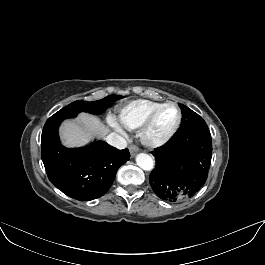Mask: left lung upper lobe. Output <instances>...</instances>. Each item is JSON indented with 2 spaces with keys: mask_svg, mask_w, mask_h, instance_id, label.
Listing matches in <instances>:
<instances>
[{
  "mask_svg": "<svg viewBox=\"0 0 265 265\" xmlns=\"http://www.w3.org/2000/svg\"><path fill=\"white\" fill-rule=\"evenodd\" d=\"M181 111H182V122L178 129V131H183L189 129L204 120L194 111L189 109L183 104H179Z\"/></svg>",
  "mask_w": 265,
  "mask_h": 265,
  "instance_id": "5c2ea615",
  "label": "left lung upper lobe"
}]
</instances>
